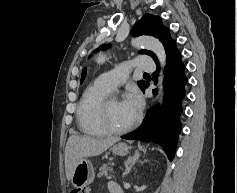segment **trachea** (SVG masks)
<instances>
[{
	"label": "trachea",
	"instance_id": "1",
	"mask_svg": "<svg viewBox=\"0 0 237 193\" xmlns=\"http://www.w3.org/2000/svg\"><path fill=\"white\" fill-rule=\"evenodd\" d=\"M143 75H149L148 73H144Z\"/></svg>",
	"mask_w": 237,
	"mask_h": 193
}]
</instances>
